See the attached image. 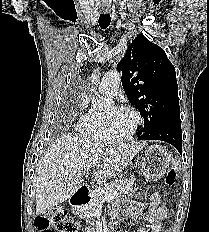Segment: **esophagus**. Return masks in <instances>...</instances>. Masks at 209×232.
Wrapping results in <instances>:
<instances>
[{
	"label": "esophagus",
	"mask_w": 209,
	"mask_h": 232,
	"mask_svg": "<svg viewBox=\"0 0 209 232\" xmlns=\"http://www.w3.org/2000/svg\"><path fill=\"white\" fill-rule=\"evenodd\" d=\"M104 12H105V13H108V12H109V10H108V9H105V10H104Z\"/></svg>",
	"instance_id": "1"
}]
</instances>
